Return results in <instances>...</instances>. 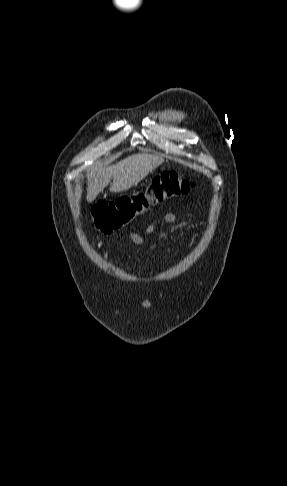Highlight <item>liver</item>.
<instances>
[{"mask_svg":"<svg viewBox=\"0 0 287 486\" xmlns=\"http://www.w3.org/2000/svg\"><path fill=\"white\" fill-rule=\"evenodd\" d=\"M163 161L164 159L159 156L136 154L109 167L93 168L88 176L87 201H94L112 179L111 192L130 189Z\"/></svg>","mask_w":287,"mask_h":486,"instance_id":"obj_1","label":"liver"}]
</instances>
